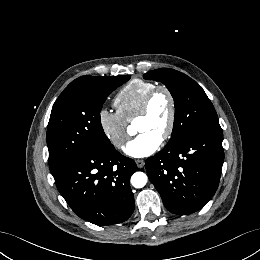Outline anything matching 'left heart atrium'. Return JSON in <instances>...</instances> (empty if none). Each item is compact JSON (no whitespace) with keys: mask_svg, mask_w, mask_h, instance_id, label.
I'll return each mask as SVG.
<instances>
[{"mask_svg":"<svg viewBox=\"0 0 260 260\" xmlns=\"http://www.w3.org/2000/svg\"><path fill=\"white\" fill-rule=\"evenodd\" d=\"M161 139L152 133L143 132L129 141L125 147L127 155L143 158L153 154L160 147Z\"/></svg>","mask_w":260,"mask_h":260,"instance_id":"obj_1","label":"left heart atrium"}]
</instances>
